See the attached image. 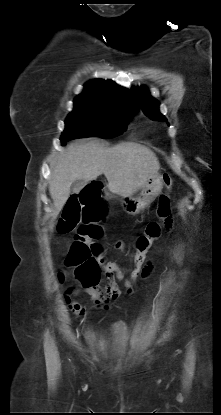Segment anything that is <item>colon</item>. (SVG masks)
I'll list each match as a JSON object with an SVG mask.
<instances>
[{
    "label": "colon",
    "instance_id": "obj_1",
    "mask_svg": "<svg viewBox=\"0 0 221 415\" xmlns=\"http://www.w3.org/2000/svg\"><path fill=\"white\" fill-rule=\"evenodd\" d=\"M164 182L167 189H170L172 181L169 176L164 177ZM157 214L161 222L149 223L145 233L135 241L136 251L130 257V274L126 282L125 271L118 270L123 268L120 260L101 255L103 248L96 242L103 235L100 223L104 218V206L97 189L94 186L83 189L69 200L58 222L60 234H68L77 229L66 256V265L73 268L76 275L89 286H95L102 274L112 283H124L126 290H132L135 281L146 269L147 250L152 241L159 235L162 225L171 220L168 195L160 197Z\"/></svg>",
    "mask_w": 221,
    "mask_h": 415
}]
</instances>
